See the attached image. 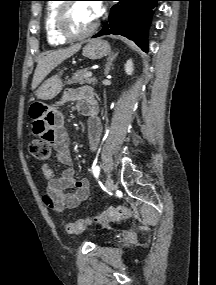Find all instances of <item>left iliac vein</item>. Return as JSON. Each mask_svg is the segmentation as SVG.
<instances>
[{"instance_id":"left-iliac-vein-1","label":"left iliac vein","mask_w":216,"mask_h":285,"mask_svg":"<svg viewBox=\"0 0 216 285\" xmlns=\"http://www.w3.org/2000/svg\"><path fill=\"white\" fill-rule=\"evenodd\" d=\"M114 181L112 178L108 177L106 180V192L111 193L114 190Z\"/></svg>"}]
</instances>
